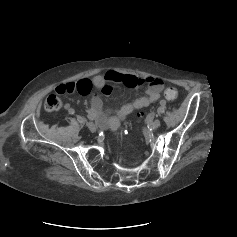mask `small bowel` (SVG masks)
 Returning <instances> with one entry per match:
<instances>
[{
	"label": "small bowel",
	"instance_id": "c3829d8e",
	"mask_svg": "<svg viewBox=\"0 0 237 237\" xmlns=\"http://www.w3.org/2000/svg\"><path fill=\"white\" fill-rule=\"evenodd\" d=\"M122 83L131 88H137L141 85H147L146 95L121 106L113 115L107 116L103 112V103L98 94L95 92L91 99V106L88 114L91 118L100 119L112 130H115L130 113L136 109L148 106L150 103L157 101L160 98L164 83L157 77L140 78L135 75L122 74L116 71H108L104 75H97L93 78H83L76 82L60 84L55 88V92L59 95L64 93H79L88 95L93 89L101 92L104 95L112 93L111 84ZM65 109H69L70 104L64 105Z\"/></svg>",
	"mask_w": 237,
	"mask_h": 237
}]
</instances>
